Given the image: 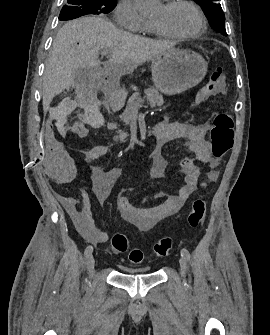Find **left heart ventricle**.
I'll return each mask as SVG.
<instances>
[{"label":"left heart ventricle","instance_id":"1","mask_svg":"<svg viewBox=\"0 0 270 335\" xmlns=\"http://www.w3.org/2000/svg\"><path fill=\"white\" fill-rule=\"evenodd\" d=\"M151 21L162 29L176 34L192 33L200 28L198 15L186 4L178 5L172 10L163 4Z\"/></svg>","mask_w":270,"mask_h":335}]
</instances>
